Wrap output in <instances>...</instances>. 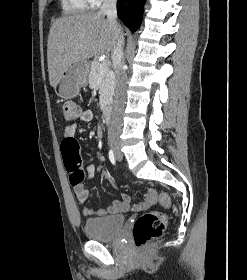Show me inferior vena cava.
Masks as SVG:
<instances>
[{
  "label": "inferior vena cava",
  "instance_id": "602c4592",
  "mask_svg": "<svg viewBox=\"0 0 247 280\" xmlns=\"http://www.w3.org/2000/svg\"><path fill=\"white\" fill-rule=\"evenodd\" d=\"M116 2L117 0H103V4L99 12L100 14L107 15V19L116 38V43L111 54L116 76V90L113 103V112L108 130V140L110 143L117 142L121 133V114L125 103V88L127 80V75L123 68L124 36L117 22Z\"/></svg>",
  "mask_w": 247,
  "mask_h": 280
}]
</instances>
